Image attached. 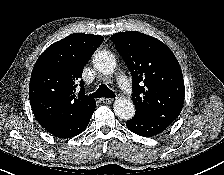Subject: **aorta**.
Here are the masks:
<instances>
[{
  "instance_id": "762f6f07",
  "label": "aorta",
  "mask_w": 224,
  "mask_h": 175,
  "mask_svg": "<svg viewBox=\"0 0 224 175\" xmlns=\"http://www.w3.org/2000/svg\"><path fill=\"white\" fill-rule=\"evenodd\" d=\"M93 63L101 73L110 75L116 67V60L112 53L99 51L94 55ZM114 112L122 120H130L135 113L134 104L126 98H117L114 102Z\"/></svg>"
}]
</instances>
